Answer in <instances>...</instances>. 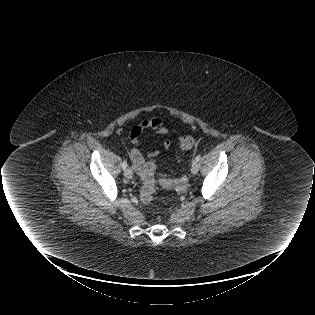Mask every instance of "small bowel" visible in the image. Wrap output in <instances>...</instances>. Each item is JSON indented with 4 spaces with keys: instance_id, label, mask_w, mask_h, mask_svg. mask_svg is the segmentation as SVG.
<instances>
[{
    "instance_id": "c3829d8e",
    "label": "small bowel",
    "mask_w": 315,
    "mask_h": 315,
    "mask_svg": "<svg viewBox=\"0 0 315 315\" xmlns=\"http://www.w3.org/2000/svg\"><path fill=\"white\" fill-rule=\"evenodd\" d=\"M148 129L152 130L155 135H167L169 133V129L165 126L164 120L160 117L143 119L131 127L130 140L134 147L130 151V160L133 168L138 173H140L144 166V156L137 146L141 143L143 132ZM161 145L164 149H169L171 147V142L166 139L161 142ZM158 155V150L147 152V156L151 158Z\"/></svg>"
}]
</instances>
